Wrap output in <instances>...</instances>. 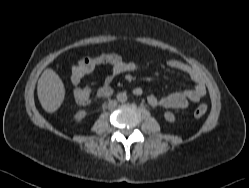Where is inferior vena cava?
<instances>
[{"mask_svg":"<svg viewBox=\"0 0 249 188\" xmlns=\"http://www.w3.org/2000/svg\"><path fill=\"white\" fill-rule=\"evenodd\" d=\"M116 105H117V101L116 100H110L108 102V108L109 109H113Z\"/></svg>","mask_w":249,"mask_h":188,"instance_id":"inferior-vena-cava-1","label":"inferior vena cava"}]
</instances>
